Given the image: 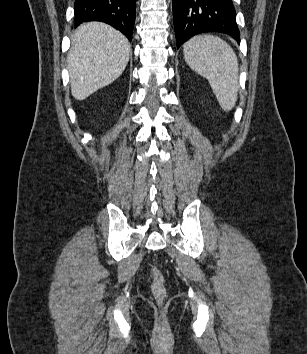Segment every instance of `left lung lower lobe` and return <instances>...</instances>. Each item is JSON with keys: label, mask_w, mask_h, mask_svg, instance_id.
Returning a JSON list of instances; mask_svg holds the SVG:
<instances>
[{"label": "left lung lower lobe", "mask_w": 307, "mask_h": 354, "mask_svg": "<svg viewBox=\"0 0 307 354\" xmlns=\"http://www.w3.org/2000/svg\"><path fill=\"white\" fill-rule=\"evenodd\" d=\"M172 7L177 48L204 32L225 33L240 42L232 0H172Z\"/></svg>", "instance_id": "0a47b994"}]
</instances>
